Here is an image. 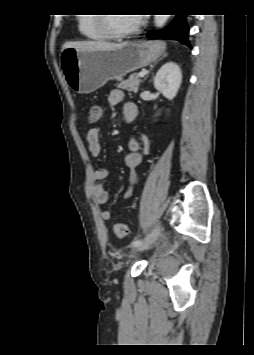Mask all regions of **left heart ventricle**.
Returning a JSON list of instances; mask_svg holds the SVG:
<instances>
[{
    "instance_id": "b2bd125f",
    "label": "left heart ventricle",
    "mask_w": 254,
    "mask_h": 355,
    "mask_svg": "<svg viewBox=\"0 0 254 355\" xmlns=\"http://www.w3.org/2000/svg\"><path fill=\"white\" fill-rule=\"evenodd\" d=\"M108 24L113 32H124L134 28L137 22L135 17L119 14L109 16Z\"/></svg>"
}]
</instances>
